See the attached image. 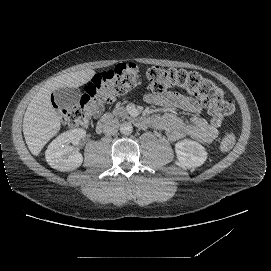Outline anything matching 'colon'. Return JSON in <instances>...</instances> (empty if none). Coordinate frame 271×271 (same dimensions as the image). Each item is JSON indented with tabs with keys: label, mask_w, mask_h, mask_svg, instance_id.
Segmentation results:
<instances>
[{
	"label": "colon",
	"mask_w": 271,
	"mask_h": 271,
	"mask_svg": "<svg viewBox=\"0 0 271 271\" xmlns=\"http://www.w3.org/2000/svg\"><path fill=\"white\" fill-rule=\"evenodd\" d=\"M147 79L153 94L178 88L200 97L211 114V122L216 126H220L234 112V105L225 99L224 91L196 71L156 66L147 71ZM138 82V66L131 62L120 63L113 70L96 74L77 105L60 109L61 118L69 126H86L105 103L134 89ZM235 142L236 136L230 132L221 139L220 149L229 151Z\"/></svg>",
	"instance_id": "5ec220e1"
}]
</instances>
